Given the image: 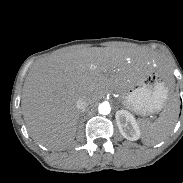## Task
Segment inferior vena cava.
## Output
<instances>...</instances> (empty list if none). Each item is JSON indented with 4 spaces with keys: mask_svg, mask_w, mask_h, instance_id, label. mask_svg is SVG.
Segmentation results:
<instances>
[{
    "mask_svg": "<svg viewBox=\"0 0 183 183\" xmlns=\"http://www.w3.org/2000/svg\"><path fill=\"white\" fill-rule=\"evenodd\" d=\"M89 106V104L87 103V101L83 98L78 99L77 103H76V107L80 112H84L86 110V108Z\"/></svg>",
    "mask_w": 183,
    "mask_h": 183,
    "instance_id": "1",
    "label": "inferior vena cava"
}]
</instances>
